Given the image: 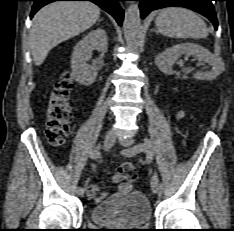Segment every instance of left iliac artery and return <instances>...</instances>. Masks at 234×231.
Returning a JSON list of instances; mask_svg holds the SVG:
<instances>
[{"label": "left iliac artery", "mask_w": 234, "mask_h": 231, "mask_svg": "<svg viewBox=\"0 0 234 231\" xmlns=\"http://www.w3.org/2000/svg\"><path fill=\"white\" fill-rule=\"evenodd\" d=\"M145 152L147 155L153 154V147L149 142L139 143L133 148L127 149L123 151V154L126 156L134 155L137 152ZM159 194H162V186L159 185Z\"/></svg>", "instance_id": "left-iliac-artery-1"}]
</instances>
